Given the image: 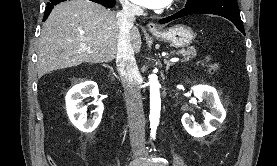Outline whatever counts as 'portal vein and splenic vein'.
I'll return each mask as SVG.
<instances>
[{"mask_svg":"<svg viewBox=\"0 0 277 166\" xmlns=\"http://www.w3.org/2000/svg\"><path fill=\"white\" fill-rule=\"evenodd\" d=\"M86 51H87L88 53H94V51H92V50L89 49V48H87ZM170 61H171V62H177V61H179V58H171Z\"/></svg>","mask_w":277,"mask_h":166,"instance_id":"1","label":"portal vein and splenic vein"}]
</instances>
